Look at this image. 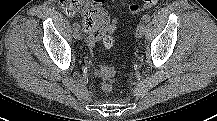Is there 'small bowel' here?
<instances>
[{"instance_id": "1", "label": "small bowel", "mask_w": 217, "mask_h": 121, "mask_svg": "<svg viewBox=\"0 0 217 121\" xmlns=\"http://www.w3.org/2000/svg\"><path fill=\"white\" fill-rule=\"evenodd\" d=\"M117 28V21L116 19L110 20L109 17L107 16V27L106 30L103 34L100 35H95L93 33H88V38H87V43L90 47H94L96 44L102 41L103 37L107 33H114Z\"/></svg>"}]
</instances>
